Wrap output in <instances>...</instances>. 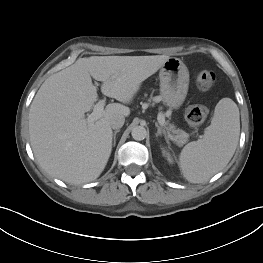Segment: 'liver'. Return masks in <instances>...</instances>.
Here are the masks:
<instances>
[{"mask_svg": "<svg viewBox=\"0 0 263 263\" xmlns=\"http://www.w3.org/2000/svg\"><path fill=\"white\" fill-rule=\"evenodd\" d=\"M169 56H91L53 74L41 85L29 112L34 156L49 175L71 184L94 181L112 151L110 120L129 116V107L108 104L100 119L84 118L98 99L92 78L102 81L105 96L129 103L143 81L156 73Z\"/></svg>", "mask_w": 263, "mask_h": 263, "instance_id": "1", "label": "liver"}]
</instances>
